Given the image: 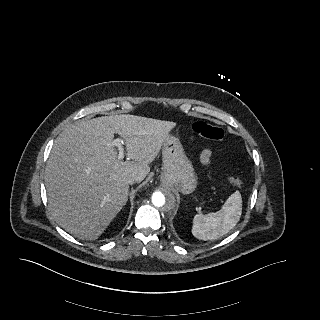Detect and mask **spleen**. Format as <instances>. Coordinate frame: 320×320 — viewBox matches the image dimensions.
I'll use <instances>...</instances> for the list:
<instances>
[{
  "mask_svg": "<svg viewBox=\"0 0 320 320\" xmlns=\"http://www.w3.org/2000/svg\"><path fill=\"white\" fill-rule=\"evenodd\" d=\"M242 214V197L237 191L231 194L222 208L215 213L195 215L192 234L201 240H214L233 229Z\"/></svg>",
  "mask_w": 320,
  "mask_h": 320,
  "instance_id": "obj_1",
  "label": "spleen"
}]
</instances>
